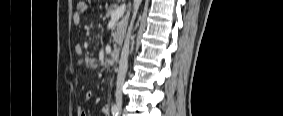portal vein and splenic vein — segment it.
I'll return each instance as SVG.
<instances>
[{
    "label": "portal vein and splenic vein",
    "mask_w": 283,
    "mask_h": 116,
    "mask_svg": "<svg viewBox=\"0 0 283 116\" xmlns=\"http://www.w3.org/2000/svg\"><path fill=\"white\" fill-rule=\"evenodd\" d=\"M126 7L125 5H122L118 7L112 14H111V20H119L125 13Z\"/></svg>",
    "instance_id": "1"
}]
</instances>
